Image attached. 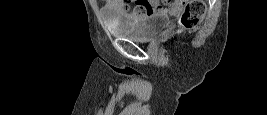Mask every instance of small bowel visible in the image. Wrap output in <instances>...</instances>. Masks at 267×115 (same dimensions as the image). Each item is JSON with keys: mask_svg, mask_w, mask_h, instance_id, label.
Masks as SVG:
<instances>
[{"mask_svg": "<svg viewBox=\"0 0 267 115\" xmlns=\"http://www.w3.org/2000/svg\"><path fill=\"white\" fill-rule=\"evenodd\" d=\"M154 8L153 12L156 13H168L171 15H178L182 12L183 8H184V2L182 1H174L171 3H168L166 5H160V4H153L152 5ZM107 8H120L121 4L119 1L116 0H109L107 1ZM134 15H131V17H133Z\"/></svg>", "mask_w": 267, "mask_h": 115, "instance_id": "1", "label": "small bowel"}]
</instances>
